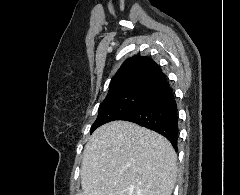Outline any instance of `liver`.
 <instances>
[{
	"label": "liver",
	"mask_w": 240,
	"mask_h": 195,
	"mask_svg": "<svg viewBox=\"0 0 240 195\" xmlns=\"http://www.w3.org/2000/svg\"><path fill=\"white\" fill-rule=\"evenodd\" d=\"M80 177L84 195H171L177 153L152 129L109 121L87 141Z\"/></svg>",
	"instance_id": "liver-1"
}]
</instances>
